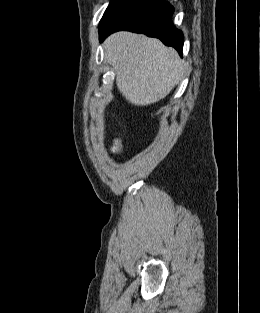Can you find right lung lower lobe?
I'll return each instance as SVG.
<instances>
[{"label":"right lung lower lobe","instance_id":"98d812e1","mask_svg":"<svg viewBox=\"0 0 260 313\" xmlns=\"http://www.w3.org/2000/svg\"><path fill=\"white\" fill-rule=\"evenodd\" d=\"M173 7L165 0H120L101 19L100 41L120 30L159 38L182 54L184 36L171 19Z\"/></svg>","mask_w":260,"mask_h":313}]
</instances>
